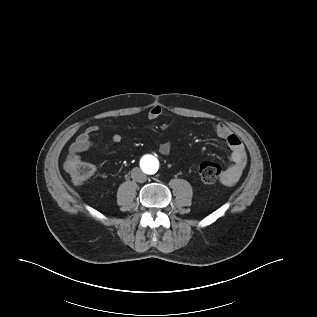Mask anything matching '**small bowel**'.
Segmentation results:
<instances>
[{"instance_id": "small-bowel-1", "label": "small bowel", "mask_w": 317, "mask_h": 317, "mask_svg": "<svg viewBox=\"0 0 317 317\" xmlns=\"http://www.w3.org/2000/svg\"><path fill=\"white\" fill-rule=\"evenodd\" d=\"M163 114V110L160 106H152L148 112L149 120H158ZM99 127L97 125H91L81 133L75 141L69 147L68 161H79L80 154L93 148L94 144L91 141V137L98 133ZM215 133L217 137L223 140L229 147L231 165L225 169L221 176L220 182L226 186H233L237 183L241 177L246 164L247 155L241 140L224 124L219 123L215 126ZM122 136L114 134L112 141L114 143H120ZM159 150L162 154L167 155L171 151V144L169 142H163L159 146Z\"/></svg>"}]
</instances>
